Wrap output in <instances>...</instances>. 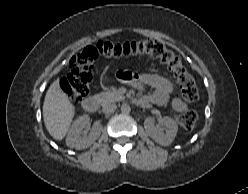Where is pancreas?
<instances>
[{
  "mask_svg": "<svg viewBox=\"0 0 248 194\" xmlns=\"http://www.w3.org/2000/svg\"><path fill=\"white\" fill-rule=\"evenodd\" d=\"M99 99L102 104H107L111 102H117L123 99V95L116 89H112L106 92H101L98 94Z\"/></svg>",
  "mask_w": 248,
  "mask_h": 194,
  "instance_id": "obj_1",
  "label": "pancreas"
}]
</instances>
